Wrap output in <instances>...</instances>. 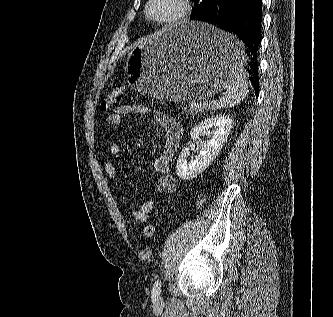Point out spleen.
<instances>
[{"instance_id": "1", "label": "spleen", "mask_w": 333, "mask_h": 317, "mask_svg": "<svg viewBox=\"0 0 333 317\" xmlns=\"http://www.w3.org/2000/svg\"><path fill=\"white\" fill-rule=\"evenodd\" d=\"M223 45L230 51L232 62V72L230 81L223 97L216 103L215 108H230L245 99L248 95L247 72L243 68L246 56L241 52V42L231 34L221 32Z\"/></svg>"}]
</instances>
